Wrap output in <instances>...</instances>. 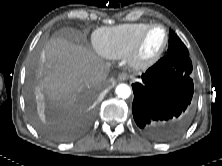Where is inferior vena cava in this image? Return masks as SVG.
<instances>
[{
	"label": "inferior vena cava",
	"mask_w": 222,
	"mask_h": 166,
	"mask_svg": "<svg viewBox=\"0 0 222 166\" xmlns=\"http://www.w3.org/2000/svg\"><path fill=\"white\" fill-rule=\"evenodd\" d=\"M106 77V71L105 70H91L87 77V83L88 84H96L100 83L102 80H104Z\"/></svg>",
	"instance_id": "obj_1"
}]
</instances>
